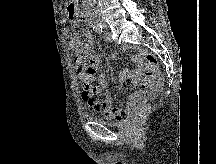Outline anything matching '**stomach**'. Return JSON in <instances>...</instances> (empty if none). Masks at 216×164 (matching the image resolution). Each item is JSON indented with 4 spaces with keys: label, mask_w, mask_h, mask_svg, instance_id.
Listing matches in <instances>:
<instances>
[{
    "label": "stomach",
    "mask_w": 216,
    "mask_h": 164,
    "mask_svg": "<svg viewBox=\"0 0 216 164\" xmlns=\"http://www.w3.org/2000/svg\"><path fill=\"white\" fill-rule=\"evenodd\" d=\"M66 14H68L66 16L67 20L71 19V16H73L74 14H79V9H77V7H66Z\"/></svg>",
    "instance_id": "0dacf381"
}]
</instances>
